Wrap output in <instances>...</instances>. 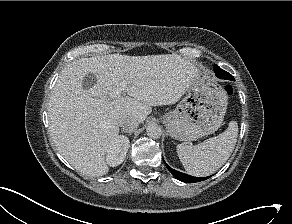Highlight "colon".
Returning <instances> with one entry per match:
<instances>
[{"mask_svg": "<svg viewBox=\"0 0 292 224\" xmlns=\"http://www.w3.org/2000/svg\"><path fill=\"white\" fill-rule=\"evenodd\" d=\"M224 90H225L227 95H232V93H233V89H232L231 85H225Z\"/></svg>", "mask_w": 292, "mask_h": 224, "instance_id": "5ec220e1", "label": "colon"}]
</instances>
